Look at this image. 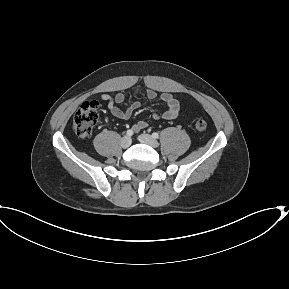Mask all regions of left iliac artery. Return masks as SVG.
Returning a JSON list of instances; mask_svg holds the SVG:
<instances>
[{
    "mask_svg": "<svg viewBox=\"0 0 289 289\" xmlns=\"http://www.w3.org/2000/svg\"><path fill=\"white\" fill-rule=\"evenodd\" d=\"M152 137L156 139V138L159 137V135H158V133L154 132V133L152 134Z\"/></svg>",
    "mask_w": 289,
    "mask_h": 289,
    "instance_id": "left-iliac-artery-1",
    "label": "left iliac artery"
}]
</instances>
